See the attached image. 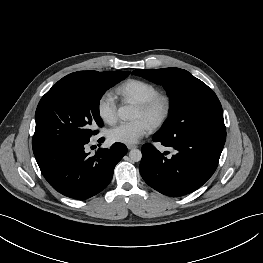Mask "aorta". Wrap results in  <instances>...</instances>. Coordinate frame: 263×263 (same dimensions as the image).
Segmentation results:
<instances>
[{
    "instance_id": "1",
    "label": "aorta",
    "mask_w": 263,
    "mask_h": 263,
    "mask_svg": "<svg viewBox=\"0 0 263 263\" xmlns=\"http://www.w3.org/2000/svg\"><path fill=\"white\" fill-rule=\"evenodd\" d=\"M136 110L131 105H125L118 109V115L122 119H133L135 117ZM129 158L132 162H138L142 158V153L139 149H132L129 152Z\"/></svg>"
}]
</instances>
